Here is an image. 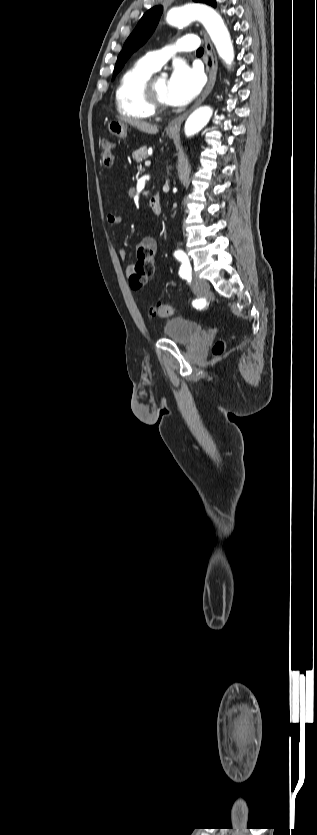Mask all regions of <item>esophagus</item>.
Instances as JSON below:
<instances>
[{
	"label": "esophagus",
	"instance_id": "1",
	"mask_svg": "<svg viewBox=\"0 0 317 835\" xmlns=\"http://www.w3.org/2000/svg\"><path fill=\"white\" fill-rule=\"evenodd\" d=\"M203 36H204V41H205V51H206V53L209 56L210 61H211V67L208 69L207 85L204 88L200 97L193 104V106L188 111H186L184 114H182V115L176 117L175 119H173L167 125L166 130L170 133H178L180 131L181 124L184 122V120L188 117V115L194 109H196L206 99V97L210 94V92L212 91V89L215 85L216 76H217V67H218L217 57H216V53H215V50L213 48V45L210 41V38L205 31H203Z\"/></svg>",
	"mask_w": 317,
	"mask_h": 835
}]
</instances>
